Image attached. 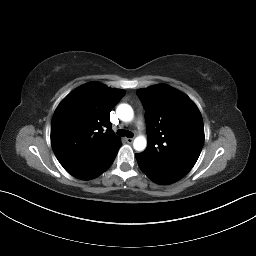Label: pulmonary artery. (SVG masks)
<instances>
[{"instance_id":"obj_1","label":"pulmonary artery","mask_w":256,"mask_h":256,"mask_svg":"<svg viewBox=\"0 0 256 256\" xmlns=\"http://www.w3.org/2000/svg\"><path fill=\"white\" fill-rule=\"evenodd\" d=\"M137 123H138V125H141V124H142V122H141L140 120H138V122H137Z\"/></svg>"}]
</instances>
